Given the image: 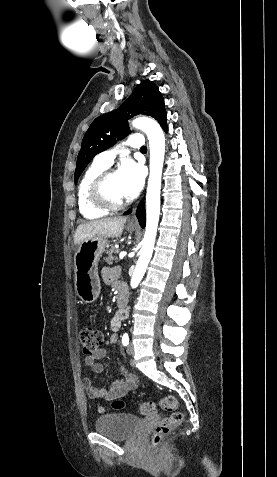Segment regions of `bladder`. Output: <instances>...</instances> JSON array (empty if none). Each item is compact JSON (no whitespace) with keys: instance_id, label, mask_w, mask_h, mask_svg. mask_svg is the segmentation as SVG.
<instances>
[{"instance_id":"bladder-1","label":"bladder","mask_w":277,"mask_h":477,"mask_svg":"<svg viewBox=\"0 0 277 477\" xmlns=\"http://www.w3.org/2000/svg\"><path fill=\"white\" fill-rule=\"evenodd\" d=\"M141 420L129 413H110L99 417L95 422L97 433L115 440H126L138 430Z\"/></svg>"}]
</instances>
